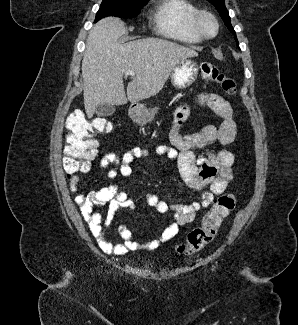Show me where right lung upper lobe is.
Returning a JSON list of instances; mask_svg holds the SVG:
<instances>
[{"label": "right lung upper lobe", "mask_w": 298, "mask_h": 325, "mask_svg": "<svg viewBox=\"0 0 298 325\" xmlns=\"http://www.w3.org/2000/svg\"><path fill=\"white\" fill-rule=\"evenodd\" d=\"M131 1H136V2H144L147 3L148 0H131Z\"/></svg>", "instance_id": "1"}]
</instances>
